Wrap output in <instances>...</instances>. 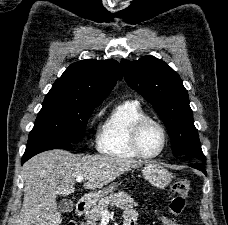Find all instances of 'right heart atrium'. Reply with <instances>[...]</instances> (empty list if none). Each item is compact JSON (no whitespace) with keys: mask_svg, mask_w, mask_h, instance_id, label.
Listing matches in <instances>:
<instances>
[{"mask_svg":"<svg viewBox=\"0 0 228 225\" xmlns=\"http://www.w3.org/2000/svg\"><path fill=\"white\" fill-rule=\"evenodd\" d=\"M102 112H103L102 109L97 110V111L93 114V116H92V118H91V121H92V122H95V121L101 116Z\"/></svg>","mask_w":228,"mask_h":225,"instance_id":"1","label":"right heart atrium"}]
</instances>
